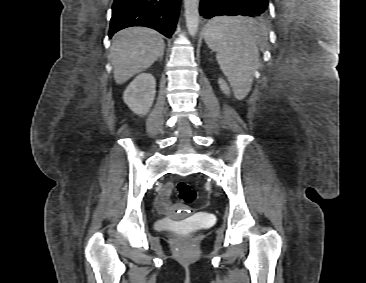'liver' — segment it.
Returning a JSON list of instances; mask_svg holds the SVG:
<instances>
[{
	"label": "liver",
	"mask_w": 366,
	"mask_h": 283,
	"mask_svg": "<svg viewBox=\"0 0 366 283\" xmlns=\"http://www.w3.org/2000/svg\"><path fill=\"white\" fill-rule=\"evenodd\" d=\"M164 48L162 36L149 27L134 26L118 31L110 52L115 82L123 84L149 68Z\"/></svg>",
	"instance_id": "1"
}]
</instances>
